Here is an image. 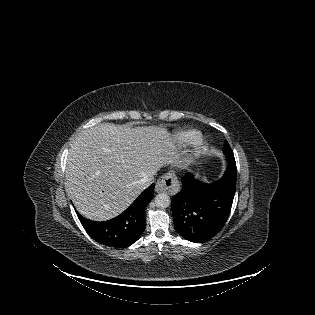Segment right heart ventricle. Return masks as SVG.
<instances>
[{
  "mask_svg": "<svg viewBox=\"0 0 315 315\" xmlns=\"http://www.w3.org/2000/svg\"><path fill=\"white\" fill-rule=\"evenodd\" d=\"M199 137V132L196 130H181L173 135V140L178 145H187L194 142Z\"/></svg>",
  "mask_w": 315,
  "mask_h": 315,
  "instance_id": "obj_1",
  "label": "right heart ventricle"
}]
</instances>
